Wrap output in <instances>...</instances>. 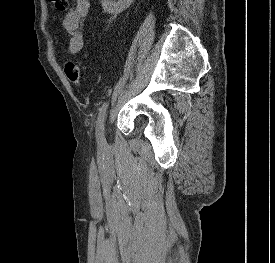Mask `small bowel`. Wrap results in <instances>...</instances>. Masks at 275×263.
Masks as SVG:
<instances>
[{
  "instance_id": "c3829d8e",
  "label": "small bowel",
  "mask_w": 275,
  "mask_h": 263,
  "mask_svg": "<svg viewBox=\"0 0 275 263\" xmlns=\"http://www.w3.org/2000/svg\"><path fill=\"white\" fill-rule=\"evenodd\" d=\"M89 8V0H76L75 7L63 20L64 30L69 35L68 53L71 55L79 53L84 46L83 22Z\"/></svg>"
}]
</instances>
